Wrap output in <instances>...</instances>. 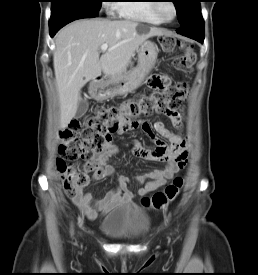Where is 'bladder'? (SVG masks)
<instances>
[{
	"instance_id": "1",
	"label": "bladder",
	"mask_w": 258,
	"mask_h": 275,
	"mask_svg": "<svg viewBox=\"0 0 258 275\" xmlns=\"http://www.w3.org/2000/svg\"><path fill=\"white\" fill-rule=\"evenodd\" d=\"M151 216L134 204H126L112 210L100 223V231L118 241H139L148 233Z\"/></svg>"
}]
</instances>
